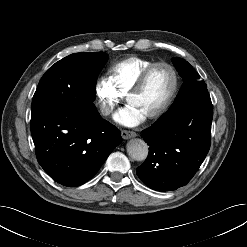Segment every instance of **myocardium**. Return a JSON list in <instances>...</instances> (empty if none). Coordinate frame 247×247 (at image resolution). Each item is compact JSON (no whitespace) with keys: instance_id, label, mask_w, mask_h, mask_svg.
<instances>
[{"instance_id":"myocardium-1","label":"myocardium","mask_w":247,"mask_h":247,"mask_svg":"<svg viewBox=\"0 0 247 247\" xmlns=\"http://www.w3.org/2000/svg\"><path fill=\"white\" fill-rule=\"evenodd\" d=\"M166 67L170 70L171 74H172V78H173V83H172V88L171 91L167 97V99L165 100V102L162 104V106L156 110L155 112H153L152 114L148 115L146 118L148 120H154V119H158L159 117H161L168 109L169 107L172 105L177 92H178V88H179V76L177 73V70L175 69V67L167 62H154L151 65H149L148 67H146L141 74L139 75L138 79L136 80L135 84L132 86V88L128 91L127 95H126V101L128 102V100L134 96L137 95L138 93H140L143 89V87L145 86V83L149 77V75L151 74V72L157 68V67Z\"/></svg>"}]
</instances>
